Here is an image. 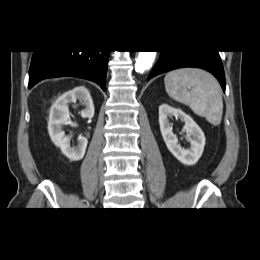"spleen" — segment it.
I'll return each instance as SVG.
<instances>
[{
	"label": "spleen",
	"instance_id": "obj_1",
	"mask_svg": "<svg viewBox=\"0 0 260 260\" xmlns=\"http://www.w3.org/2000/svg\"><path fill=\"white\" fill-rule=\"evenodd\" d=\"M164 84L167 94L214 125L222 120L223 100L218 81L201 69L184 68L166 74ZM190 89V90H189Z\"/></svg>",
	"mask_w": 260,
	"mask_h": 260
}]
</instances>
